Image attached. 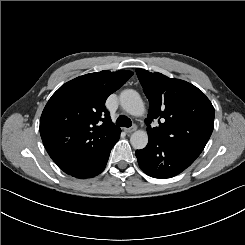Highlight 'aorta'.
Segmentation results:
<instances>
[{
    "mask_svg": "<svg viewBox=\"0 0 245 245\" xmlns=\"http://www.w3.org/2000/svg\"><path fill=\"white\" fill-rule=\"evenodd\" d=\"M120 104L122 108L133 116H142L145 112L143 101L135 90L126 89L120 93ZM130 143L134 149H143L148 144L146 131L137 130L130 137Z\"/></svg>",
    "mask_w": 245,
    "mask_h": 245,
    "instance_id": "1",
    "label": "aorta"
}]
</instances>
